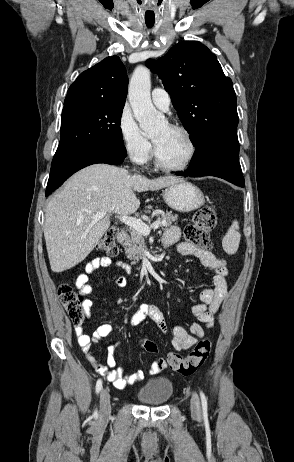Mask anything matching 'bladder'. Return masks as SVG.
<instances>
[{
  "mask_svg": "<svg viewBox=\"0 0 294 462\" xmlns=\"http://www.w3.org/2000/svg\"><path fill=\"white\" fill-rule=\"evenodd\" d=\"M174 393V385L168 377H160L145 382L137 391V400L150 407L161 406L166 403Z\"/></svg>",
  "mask_w": 294,
  "mask_h": 462,
  "instance_id": "1",
  "label": "bladder"
}]
</instances>
